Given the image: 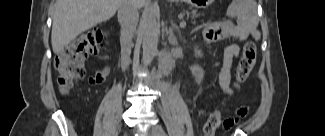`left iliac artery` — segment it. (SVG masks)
<instances>
[{
	"instance_id": "left-iliac-artery-1",
	"label": "left iliac artery",
	"mask_w": 325,
	"mask_h": 136,
	"mask_svg": "<svg viewBox=\"0 0 325 136\" xmlns=\"http://www.w3.org/2000/svg\"><path fill=\"white\" fill-rule=\"evenodd\" d=\"M159 136H167V134L165 133V131L162 129V127L159 128Z\"/></svg>"
}]
</instances>
